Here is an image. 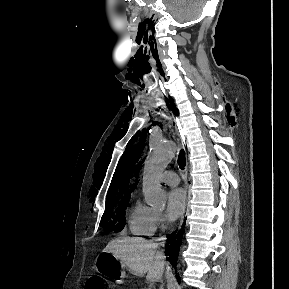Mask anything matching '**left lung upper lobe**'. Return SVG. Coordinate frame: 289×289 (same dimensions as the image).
Listing matches in <instances>:
<instances>
[{"instance_id": "5c2ea615", "label": "left lung upper lobe", "mask_w": 289, "mask_h": 289, "mask_svg": "<svg viewBox=\"0 0 289 289\" xmlns=\"http://www.w3.org/2000/svg\"><path fill=\"white\" fill-rule=\"evenodd\" d=\"M135 186L133 185V188H134ZM132 190V189H131ZM130 191H128L127 192V194L129 193ZM108 200H110V194H108Z\"/></svg>"}]
</instances>
